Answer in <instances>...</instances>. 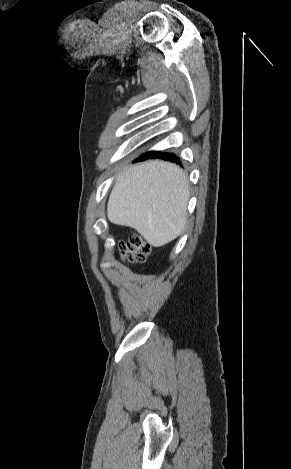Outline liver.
<instances>
[{"label":"liver","instance_id":"1","mask_svg":"<svg viewBox=\"0 0 291 469\" xmlns=\"http://www.w3.org/2000/svg\"><path fill=\"white\" fill-rule=\"evenodd\" d=\"M189 184L175 164L147 161L121 174L107 205L108 220L135 229L153 247L177 238L185 229Z\"/></svg>","mask_w":291,"mask_h":469}]
</instances>
